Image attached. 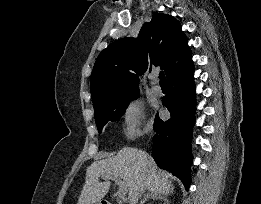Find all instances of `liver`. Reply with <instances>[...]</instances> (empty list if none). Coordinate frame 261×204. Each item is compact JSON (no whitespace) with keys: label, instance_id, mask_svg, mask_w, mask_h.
Returning <instances> with one entry per match:
<instances>
[{"label":"liver","instance_id":"liver-1","mask_svg":"<svg viewBox=\"0 0 261 204\" xmlns=\"http://www.w3.org/2000/svg\"><path fill=\"white\" fill-rule=\"evenodd\" d=\"M108 180L109 177L123 179L128 188V199L131 200L136 190L156 195H165L173 192V185L167 174L157 172L154 159L146 152L125 147L115 156L94 161L86 171L85 183L77 204H100L101 199L108 193L111 183L100 182L99 177Z\"/></svg>","mask_w":261,"mask_h":204}]
</instances>
